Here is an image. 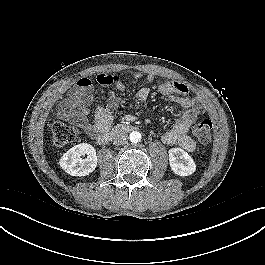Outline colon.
<instances>
[{
	"label": "colon",
	"mask_w": 265,
	"mask_h": 265,
	"mask_svg": "<svg viewBox=\"0 0 265 265\" xmlns=\"http://www.w3.org/2000/svg\"><path fill=\"white\" fill-rule=\"evenodd\" d=\"M212 121L209 118H202L193 123L192 133L201 144H208L211 140ZM53 143L57 147H63L74 142L78 131L75 127L56 120L52 126Z\"/></svg>",
	"instance_id": "1"
}]
</instances>
